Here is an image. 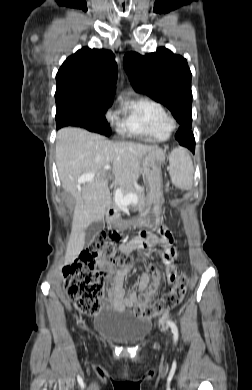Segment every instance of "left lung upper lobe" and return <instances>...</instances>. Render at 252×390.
<instances>
[{
    "label": "left lung upper lobe",
    "mask_w": 252,
    "mask_h": 390,
    "mask_svg": "<svg viewBox=\"0 0 252 390\" xmlns=\"http://www.w3.org/2000/svg\"><path fill=\"white\" fill-rule=\"evenodd\" d=\"M123 64L137 92L164 104L181 125H192V74L184 57L160 47L146 55L128 52Z\"/></svg>",
    "instance_id": "obj_1"
}]
</instances>
